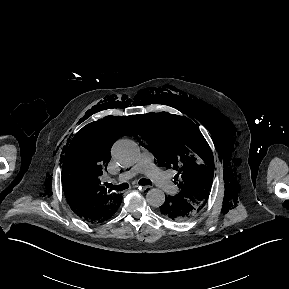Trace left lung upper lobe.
Wrapping results in <instances>:
<instances>
[{"mask_svg":"<svg viewBox=\"0 0 289 289\" xmlns=\"http://www.w3.org/2000/svg\"><path fill=\"white\" fill-rule=\"evenodd\" d=\"M138 118L141 136L158 164L178 172L176 196L201 210L212 185L214 160L197 126L185 117L169 113H148Z\"/></svg>","mask_w":289,"mask_h":289,"instance_id":"1","label":"left lung upper lobe"}]
</instances>
